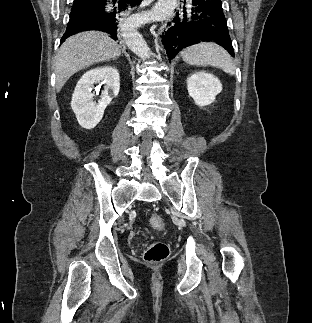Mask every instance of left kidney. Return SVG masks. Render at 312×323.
<instances>
[{"label":"left kidney","mask_w":312,"mask_h":323,"mask_svg":"<svg viewBox=\"0 0 312 323\" xmlns=\"http://www.w3.org/2000/svg\"><path fill=\"white\" fill-rule=\"evenodd\" d=\"M188 94L197 106H208L215 100V96L222 90V84L213 74L196 72L187 80Z\"/></svg>","instance_id":"5707ae66"}]
</instances>
